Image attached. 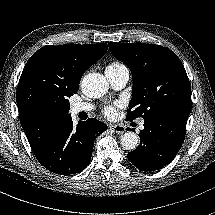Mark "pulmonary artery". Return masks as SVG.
<instances>
[{"instance_id": "1", "label": "pulmonary artery", "mask_w": 215, "mask_h": 215, "mask_svg": "<svg viewBox=\"0 0 215 215\" xmlns=\"http://www.w3.org/2000/svg\"><path fill=\"white\" fill-rule=\"evenodd\" d=\"M106 77L108 78L110 84L112 87L120 89L123 88L128 80H129V70L125 67L116 71H111L106 69L105 71ZM93 109V106L88 103H75L71 105L70 112L73 115L79 114L81 112H88ZM144 121L140 123V127L144 128L143 126Z\"/></svg>"}]
</instances>
